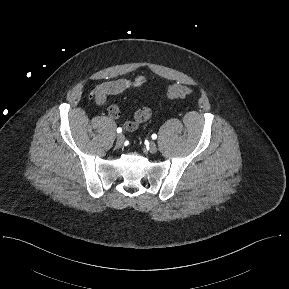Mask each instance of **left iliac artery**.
<instances>
[{
    "label": "left iliac artery",
    "instance_id": "obj_1",
    "mask_svg": "<svg viewBox=\"0 0 289 289\" xmlns=\"http://www.w3.org/2000/svg\"><path fill=\"white\" fill-rule=\"evenodd\" d=\"M152 139H156L157 138V135L156 134H152Z\"/></svg>",
    "mask_w": 289,
    "mask_h": 289
}]
</instances>
